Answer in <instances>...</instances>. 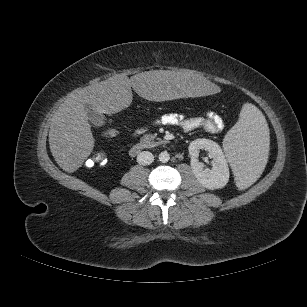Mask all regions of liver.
I'll return each instance as SVG.
<instances>
[{
	"mask_svg": "<svg viewBox=\"0 0 307 307\" xmlns=\"http://www.w3.org/2000/svg\"><path fill=\"white\" fill-rule=\"evenodd\" d=\"M150 101L172 100L186 95L218 98L222 85L218 81L201 79L190 70H155L139 73L130 79L126 76L73 91L53 117L49 130L52 156L64 171L72 173L80 168L91 154L94 137L87 118L86 106L100 114H113L128 107L132 91Z\"/></svg>",
	"mask_w": 307,
	"mask_h": 307,
	"instance_id": "1",
	"label": "liver"
}]
</instances>
